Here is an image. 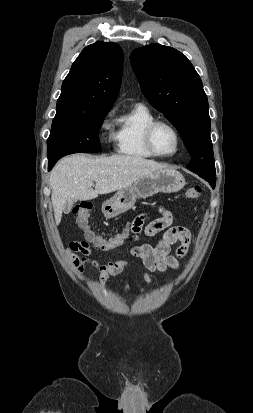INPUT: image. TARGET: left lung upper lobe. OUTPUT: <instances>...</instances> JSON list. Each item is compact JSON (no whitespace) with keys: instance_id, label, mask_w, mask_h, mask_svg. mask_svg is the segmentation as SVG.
<instances>
[{"instance_id":"obj_1","label":"left lung upper lobe","mask_w":253,"mask_h":413,"mask_svg":"<svg viewBox=\"0 0 253 413\" xmlns=\"http://www.w3.org/2000/svg\"><path fill=\"white\" fill-rule=\"evenodd\" d=\"M130 60L147 100L179 131L192 158L187 168L215 177L208 100L191 62L157 43L135 49Z\"/></svg>"}]
</instances>
